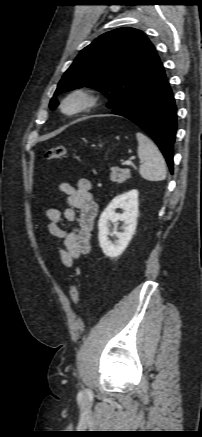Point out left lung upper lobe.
I'll return each mask as SVG.
<instances>
[{"mask_svg":"<svg viewBox=\"0 0 202 437\" xmlns=\"http://www.w3.org/2000/svg\"><path fill=\"white\" fill-rule=\"evenodd\" d=\"M163 71L155 47L140 30L119 28L107 32L85 47L64 73L54 93L88 86L109 99L114 109ZM58 101L53 97L50 108Z\"/></svg>","mask_w":202,"mask_h":437,"instance_id":"left-lung-upper-lobe-1","label":"left lung upper lobe"}]
</instances>
